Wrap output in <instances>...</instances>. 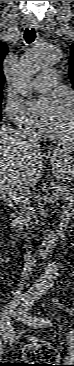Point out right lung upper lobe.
Instances as JSON below:
<instances>
[{
    "instance_id": "1",
    "label": "right lung upper lobe",
    "mask_w": 74,
    "mask_h": 366,
    "mask_svg": "<svg viewBox=\"0 0 74 366\" xmlns=\"http://www.w3.org/2000/svg\"><path fill=\"white\" fill-rule=\"evenodd\" d=\"M8 53V47L7 45L0 43V92H2V88L4 85L5 77L2 71V62L5 58V56Z\"/></svg>"
}]
</instances>
